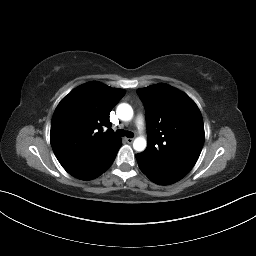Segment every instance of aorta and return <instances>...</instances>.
<instances>
[{
  "instance_id": "aorta-1",
  "label": "aorta",
  "mask_w": 256,
  "mask_h": 256,
  "mask_svg": "<svg viewBox=\"0 0 256 256\" xmlns=\"http://www.w3.org/2000/svg\"><path fill=\"white\" fill-rule=\"evenodd\" d=\"M117 115L122 121H130L133 118V109L127 103H121L117 107ZM147 142L144 137H137L133 142L134 150L141 152L146 148Z\"/></svg>"
}]
</instances>
